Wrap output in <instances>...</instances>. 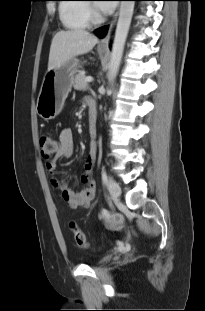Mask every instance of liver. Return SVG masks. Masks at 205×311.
<instances>
[{"label":"liver","instance_id":"1","mask_svg":"<svg viewBox=\"0 0 205 311\" xmlns=\"http://www.w3.org/2000/svg\"><path fill=\"white\" fill-rule=\"evenodd\" d=\"M98 38L86 30L59 31L52 39L48 69H57L74 57L90 52Z\"/></svg>","mask_w":205,"mask_h":311}]
</instances>
